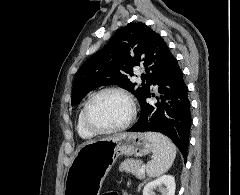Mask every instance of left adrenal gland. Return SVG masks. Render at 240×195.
<instances>
[{"instance_id": "left-adrenal-gland-1", "label": "left adrenal gland", "mask_w": 240, "mask_h": 195, "mask_svg": "<svg viewBox=\"0 0 240 195\" xmlns=\"http://www.w3.org/2000/svg\"><path fill=\"white\" fill-rule=\"evenodd\" d=\"M143 183H145V179H144ZM141 185H142V183H139L138 189H140Z\"/></svg>"}]
</instances>
